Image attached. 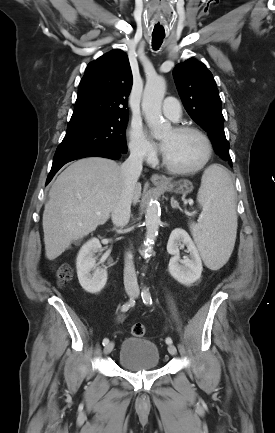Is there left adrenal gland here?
I'll return each instance as SVG.
<instances>
[{
	"label": "left adrenal gland",
	"mask_w": 275,
	"mask_h": 433,
	"mask_svg": "<svg viewBox=\"0 0 275 433\" xmlns=\"http://www.w3.org/2000/svg\"><path fill=\"white\" fill-rule=\"evenodd\" d=\"M171 207L172 208H178L179 210H181L179 203L174 199V197L171 198Z\"/></svg>",
	"instance_id": "left-adrenal-gland-1"
}]
</instances>
